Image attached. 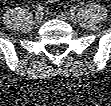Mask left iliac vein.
Returning <instances> with one entry per match:
<instances>
[{
  "instance_id": "left-iliac-vein-1",
  "label": "left iliac vein",
  "mask_w": 111,
  "mask_h": 106,
  "mask_svg": "<svg viewBox=\"0 0 111 106\" xmlns=\"http://www.w3.org/2000/svg\"><path fill=\"white\" fill-rule=\"evenodd\" d=\"M67 16L71 21H74L76 19L73 13H68Z\"/></svg>"
}]
</instances>
